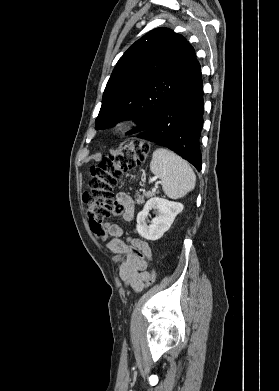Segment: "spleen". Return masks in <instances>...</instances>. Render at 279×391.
<instances>
[{"instance_id": "spleen-1", "label": "spleen", "mask_w": 279, "mask_h": 391, "mask_svg": "<svg viewBox=\"0 0 279 391\" xmlns=\"http://www.w3.org/2000/svg\"><path fill=\"white\" fill-rule=\"evenodd\" d=\"M151 172L162 181L164 193L178 199L192 191L196 175L190 165L180 156L166 148H157L150 162Z\"/></svg>"}]
</instances>
